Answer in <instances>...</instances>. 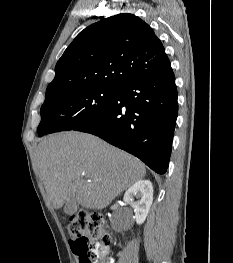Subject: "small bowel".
Instances as JSON below:
<instances>
[{
  "label": "small bowel",
  "instance_id": "small-bowel-1",
  "mask_svg": "<svg viewBox=\"0 0 233 263\" xmlns=\"http://www.w3.org/2000/svg\"><path fill=\"white\" fill-rule=\"evenodd\" d=\"M115 259L113 257L110 258V261L108 263H114Z\"/></svg>",
  "mask_w": 233,
  "mask_h": 263
}]
</instances>
